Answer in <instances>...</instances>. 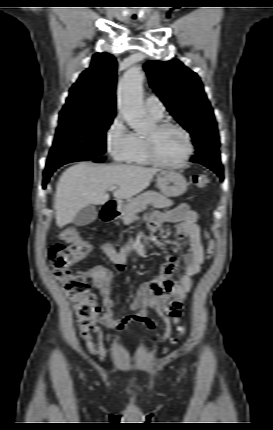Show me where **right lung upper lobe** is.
Masks as SVG:
<instances>
[{"label": "right lung upper lobe", "mask_w": 273, "mask_h": 430, "mask_svg": "<svg viewBox=\"0 0 273 430\" xmlns=\"http://www.w3.org/2000/svg\"><path fill=\"white\" fill-rule=\"evenodd\" d=\"M117 63L108 53H96L70 89L62 110H78L88 114H115Z\"/></svg>", "instance_id": "obj_1"}]
</instances>
